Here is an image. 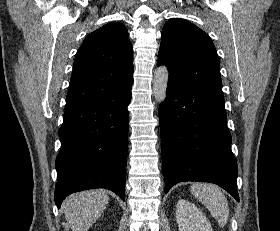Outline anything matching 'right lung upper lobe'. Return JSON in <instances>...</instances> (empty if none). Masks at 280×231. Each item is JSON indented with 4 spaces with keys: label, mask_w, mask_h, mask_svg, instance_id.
Returning a JSON list of instances; mask_svg holds the SVG:
<instances>
[{
    "label": "right lung upper lobe",
    "mask_w": 280,
    "mask_h": 231,
    "mask_svg": "<svg viewBox=\"0 0 280 231\" xmlns=\"http://www.w3.org/2000/svg\"><path fill=\"white\" fill-rule=\"evenodd\" d=\"M133 48L127 28L110 22L90 33L74 60L66 108L131 89Z\"/></svg>",
    "instance_id": "cb5924a9"
}]
</instances>
